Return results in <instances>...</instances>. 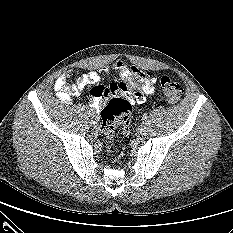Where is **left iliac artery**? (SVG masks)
Masks as SVG:
<instances>
[{
    "label": "left iliac artery",
    "instance_id": "1",
    "mask_svg": "<svg viewBox=\"0 0 233 233\" xmlns=\"http://www.w3.org/2000/svg\"><path fill=\"white\" fill-rule=\"evenodd\" d=\"M148 115L147 114H143V119H147Z\"/></svg>",
    "mask_w": 233,
    "mask_h": 233
}]
</instances>
